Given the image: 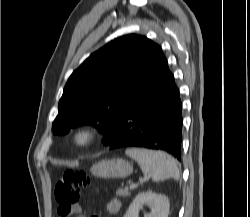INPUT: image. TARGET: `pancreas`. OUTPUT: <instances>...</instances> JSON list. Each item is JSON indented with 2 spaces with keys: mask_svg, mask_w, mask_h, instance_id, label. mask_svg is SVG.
Here are the masks:
<instances>
[{
  "mask_svg": "<svg viewBox=\"0 0 250 217\" xmlns=\"http://www.w3.org/2000/svg\"><path fill=\"white\" fill-rule=\"evenodd\" d=\"M116 194L118 195V196H122V197H128V196H130V192L128 191V189H118L117 191H116Z\"/></svg>",
  "mask_w": 250,
  "mask_h": 217,
  "instance_id": "pancreas-1",
  "label": "pancreas"
}]
</instances>
